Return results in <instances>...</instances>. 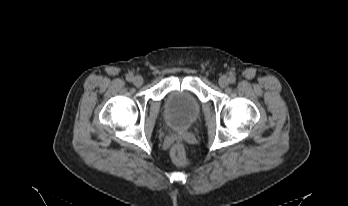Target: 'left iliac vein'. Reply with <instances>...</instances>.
I'll list each match as a JSON object with an SVG mask.
<instances>
[{"label":"left iliac vein","instance_id":"1","mask_svg":"<svg viewBox=\"0 0 348 206\" xmlns=\"http://www.w3.org/2000/svg\"><path fill=\"white\" fill-rule=\"evenodd\" d=\"M228 84H229V79L226 76H221L219 78L220 87L225 88L228 86Z\"/></svg>","mask_w":348,"mask_h":206}]
</instances>
